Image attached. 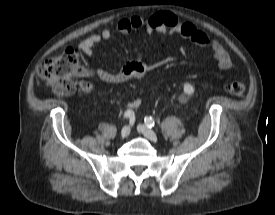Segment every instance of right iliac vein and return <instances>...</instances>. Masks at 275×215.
<instances>
[{"mask_svg":"<svg viewBox=\"0 0 275 215\" xmlns=\"http://www.w3.org/2000/svg\"><path fill=\"white\" fill-rule=\"evenodd\" d=\"M130 126H124L123 128H122V130H121V136L123 137V138H126L129 134H130Z\"/></svg>","mask_w":275,"mask_h":215,"instance_id":"obj_1","label":"right iliac vein"}]
</instances>
